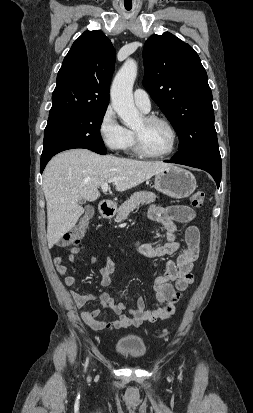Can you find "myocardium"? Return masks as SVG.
I'll use <instances>...</instances> for the list:
<instances>
[{
	"label": "myocardium",
	"instance_id": "f54148a6",
	"mask_svg": "<svg viewBox=\"0 0 253 413\" xmlns=\"http://www.w3.org/2000/svg\"><path fill=\"white\" fill-rule=\"evenodd\" d=\"M143 118L148 123H151V122L163 123L169 129V131L171 132L172 141H171V145H170L169 149L166 150L165 152L152 153V152H149L144 147V144L142 142L140 134L137 131L133 130L134 144H135L136 152L139 155H141L143 157H147V158H163V157H166V156L172 154L174 152V150L176 149V147H177L178 138H179L178 137V132H177L175 126L172 124V122L169 119H167L163 116H159V115H146Z\"/></svg>",
	"mask_w": 253,
	"mask_h": 413
}]
</instances>
